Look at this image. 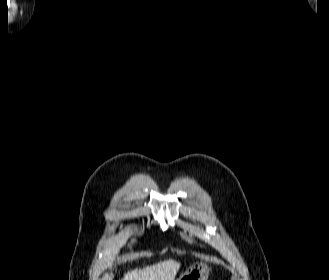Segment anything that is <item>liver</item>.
Listing matches in <instances>:
<instances>
[{
	"mask_svg": "<svg viewBox=\"0 0 329 280\" xmlns=\"http://www.w3.org/2000/svg\"><path fill=\"white\" fill-rule=\"evenodd\" d=\"M179 268V262L169 259L143 269L131 270L122 280H174Z\"/></svg>",
	"mask_w": 329,
	"mask_h": 280,
	"instance_id": "obj_1",
	"label": "liver"
}]
</instances>
